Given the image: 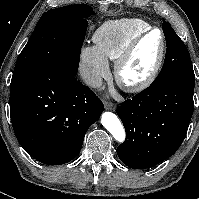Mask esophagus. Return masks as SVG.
<instances>
[{"label":"esophagus","instance_id":"obj_1","mask_svg":"<svg viewBox=\"0 0 199 199\" xmlns=\"http://www.w3.org/2000/svg\"><path fill=\"white\" fill-rule=\"evenodd\" d=\"M105 108L107 110L114 111L116 109V106H115V104H113L111 102H105Z\"/></svg>","mask_w":199,"mask_h":199}]
</instances>
